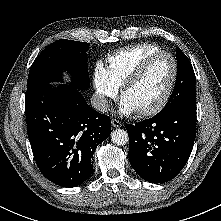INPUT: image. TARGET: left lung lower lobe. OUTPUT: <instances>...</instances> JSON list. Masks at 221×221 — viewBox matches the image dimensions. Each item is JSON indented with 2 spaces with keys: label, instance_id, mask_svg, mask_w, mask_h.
Returning <instances> with one entry per match:
<instances>
[{
  "label": "left lung lower lobe",
  "instance_id": "left-lung-lower-lobe-1",
  "mask_svg": "<svg viewBox=\"0 0 221 221\" xmlns=\"http://www.w3.org/2000/svg\"><path fill=\"white\" fill-rule=\"evenodd\" d=\"M129 161L144 180L165 183L185 166L196 137V104H182L169 112L126 126Z\"/></svg>",
  "mask_w": 221,
  "mask_h": 221
}]
</instances>
